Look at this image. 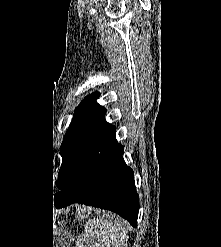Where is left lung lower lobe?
I'll return each mask as SVG.
<instances>
[{"label": "left lung lower lobe", "mask_w": 221, "mask_h": 247, "mask_svg": "<svg viewBox=\"0 0 221 247\" xmlns=\"http://www.w3.org/2000/svg\"><path fill=\"white\" fill-rule=\"evenodd\" d=\"M123 150L111 125L93 143L72 182L54 196L55 205L81 203L108 209L136 227L138 194L133 170L122 157Z\"/></svg>", "instance_id": "1"}]
</instances>
